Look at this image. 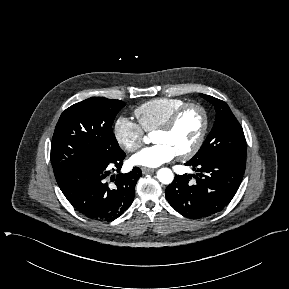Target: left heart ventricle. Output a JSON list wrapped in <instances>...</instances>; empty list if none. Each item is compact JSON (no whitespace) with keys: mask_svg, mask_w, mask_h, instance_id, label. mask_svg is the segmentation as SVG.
<instances>
[{"mask_svg":"<svg viewBox=\"0 0 289 289\" xmlns=\"http://www.w3.org/2000/svg\"><path fill=\"white\" fill-rule=\"evenodd\" d=\"M201 126L202 117L200 112L190 109L181 116L172 131L155 132L153 142L169 145L178 155L193 145L198 137Z\"/></svg>","mask_w":289,"mask_h":289,"instance_id":"left-heart-ventricle-1","label":"left heart ventricle"}]
</instances>
